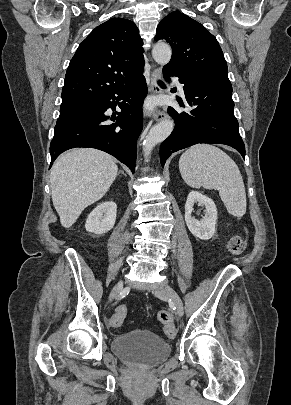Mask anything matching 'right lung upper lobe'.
Returning <instances> with one entry per match:
<instances>
[{
	"mask_svg": "<svg viewBox=\"0 0 291 405\" xmlns=\"http://www.w3.org/2000/svg\"><path fill=\"white\" fill-rule=\"evenodd\" d=\"M141 46L139 30L128 19L111 18L96 27L69 63L62 104L94 100L141 73Z\"/></svg>",
	"mask_w": 291,
	"mask_h": 405,
	"instance_id": "obj_1",
	"label": "right lung upper lobe"
}]
</instances>
